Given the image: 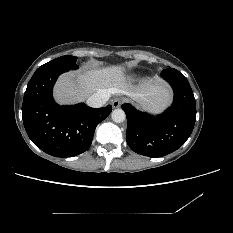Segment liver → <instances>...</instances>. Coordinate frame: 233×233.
Returning a JSON list of instances; mask_svg holds the SVG:
<instances>
[{
  "instance_id": "obj_1",
  "label": "liver",
  "mask_w": 233,
  "mask_h": 233,
  "mask_svg": "<svg viewBox=\"0 0 233 233\" xmlns=\"http://www.w3.org/2000/svg\"><path fill=\"white\" fill-rule=\"evenodd\" d=\"M105 91L110 95H127L144 107L164 108L170 102V91L159 79H144L133 87L126 81L124 67H92L81 72H70L59 77L54 87V98L59 104H74L91 95Z\"/></svg>"
}]
</instances>
